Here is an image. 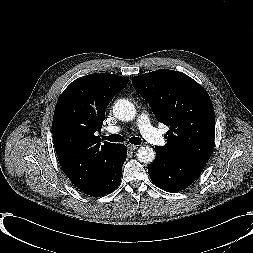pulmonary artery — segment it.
<instances>
[{
    "instance_id": "e3ab8cb5",
    "label": "pulmonary artery",
    "mask_w": 253,
    "mask_h": 253,
    "mask_svg": "<svg viewBox=\"0 0 253 253\" xmlns=\"http://www.w3.org/2000/svg\"><path fill=\"white\" fill-rule=\"evenodd\" d=\"M137 125L146 141L151 144L162 146L166 143V138L162 132L151 126L148 114L142 112L137 118ZM123 130L122 126H110L105 130L106 134H117Z\"/></svg>"
}]
</instances>
